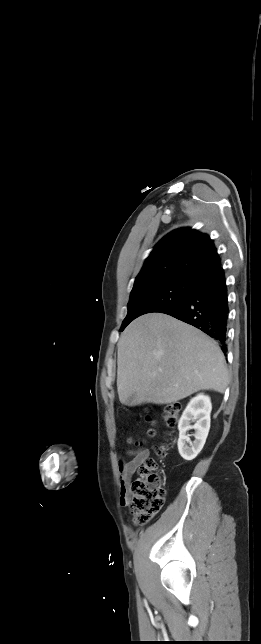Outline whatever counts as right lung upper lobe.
<instances>
[{"instance_id": "cb5924a9", "label": "right lung upper lobe", "mask_w": 261, "mask_h": 644, "mask_svg": "<svg viewBox=\"0 0 261 644\" xmlns=\"http://www.w3.org/2000/svg\"><path fill=\"white\" fill-rule=\"evenodd\" d=\"M220 265V258L208 235L190 228L177 229L154 247L137 275L134 287L167 278L195 281Z\"/></svg>"}]
</instances>
